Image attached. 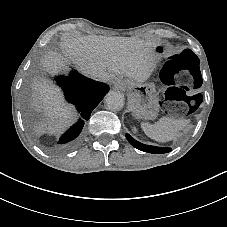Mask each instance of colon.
Wrapping results in <instances>:
<instances>
[{"instance_id": "5ec220e1", "label": "colon", "mask_w": 227, "mask_h": 227, "mask_svg": "<svg viewBox=\"0 0 227 227\" xmlns=\"http://www.w3.org/2000/svg\"><path fill=\"white\" fill-rule=\"evenodd\" d=\"M155 66L163 85L161 105L171 114H189L195 111L201 100L193 94L201 83L199 59L190 50L168 54L167 47L158 43L153 46Z\"/></svg>"}]
</instances>
